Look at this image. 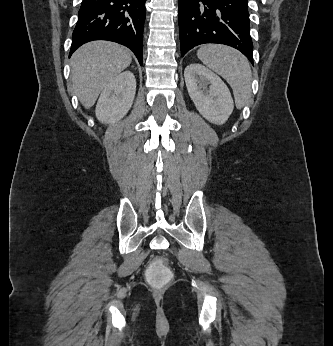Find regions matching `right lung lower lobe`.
Listing matches in <instances>:
<instances>
[{
	"label": "right lung lower lobe",
	"instance_id": "obj_1",
	"mask_svg": "<svg viewBox=\"0 0 333 346\" xmlns=\"http://www.w3.org/2000/svg\"><path fill=\"white\" fill-rule=\"evenodd\" d=\"M146 0H82L71 54L84 43L109 40L130 48L142 65Z\"/></svg>",
	"mask_w": 333,
	"mask_h": 346
}]
</instances>
